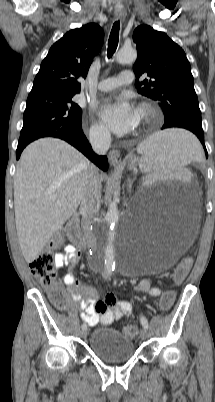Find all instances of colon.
Listing matches in <instances>:
<instances>
[{
    "mask_svg": "<svg viewBox=\"0 0 215 402\" xmlns=\"http://www.w3.org/2000/svg\"><path fill=\"white\" fill-rule=\"evenodd\" d=\"M63 241L62 235H55L48 243L46 249L41 252L30 263V269L33 276L48 290V294L52 303L59 309L66 306V297L63 289L57 279V273L54 267L53 251L61 245ZM188 259L179 264L173 273L175 282H181L188 272L191 260L195 259L196 254L193 251L188 252ZM175 293L171 290L165 291L160 299L159 306L162 310H168L173 305ZM123 333L129 338H135L138 329L134 325H128L123 329Z\"/></svg>",
    "mask_w": 215,
    "mask_h": 402,
    "instance_id": "colon-1",
    "label": "colon"
}]
</instances>
